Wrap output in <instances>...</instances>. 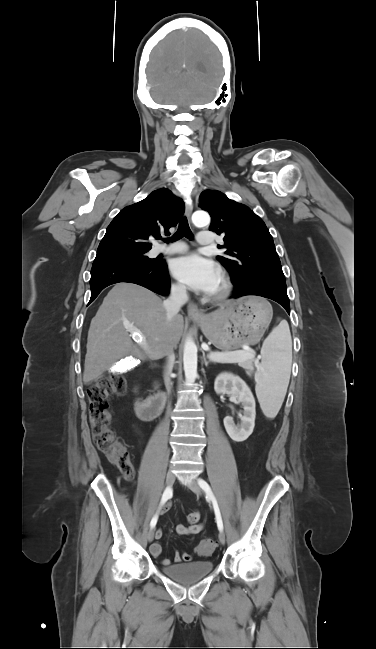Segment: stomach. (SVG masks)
I'll return each mask as SVG.
<instances>
[{
	"label": "stomach",
	"mask_w": 376,
	"mask_h": 649,
	"mask_svg": "<svg viewBox=\"0 0 376 649\" xmlns=\"http://www.w3.org/2000/svg\"><path fill=\"white\" fill-rule=\"evenodd\" d=\"M272 313V307L265 299L245 297L228 301L196 322L216 348L229 351L259 342L269 326Z\"/></svg>",
	"instance_id": "obj_1"
}]
</instances>
